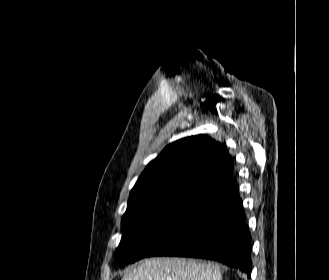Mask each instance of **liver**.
<instances>
[{
  "label": "liver",
  "instance_id": "6515ba94",
  "mask_svg": "<svg viewBox=\"0 0 329 280\" xmlns=\"http://www.w3.org/2000/svg\"><path fill=\"white\" fill-rule=\"evenodd\" d=\"M217 263L177 257L145 259L121 280H221Z\"/></svg>",
  "mask_w": 329,
  "mask_h": 280
}]
</instances>
